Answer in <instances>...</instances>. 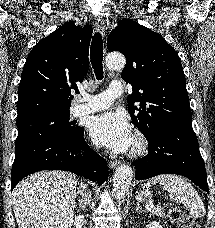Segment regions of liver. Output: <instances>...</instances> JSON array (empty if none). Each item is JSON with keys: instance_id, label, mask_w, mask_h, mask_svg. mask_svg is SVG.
I'll list each match as a JSON object with an SVG mask.
<instances>
[{"instance_id": "obj_1", "label": "liver", "mask_w": 215, "mask_h": 228, "mask_svg": "<svg viewBox=\"0 0 215 228\" xmlns=\"http://www.w3.org/2000/svg\"><path fill=\"white\" fill-rule=\"evenodd\" d=\"M77 178L71 172H36L12 192L18 228H73Z\"/></svg>"}]
</instances>
